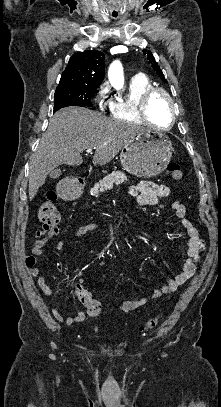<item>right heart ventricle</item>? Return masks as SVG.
<instances>
[{
    "mask_svg": "<svg viewBox=\"0 0 221 407\" xmlns=\"http://www.w3.org/2000/svg\"><path fill=\"white\" fill-rule=\"evenodd\" d=\"M152 87L153 84L146 76L133 77L129 82L127 94L110 102L111 117L126 122L143 123L138 114V105L143 94Z\"/></svg>",
    "mask_w": 221,
    "mask_h": 407,
    "instance_id": "obj_1",
    "label": "right heart ventricle"
}]
</instances>
